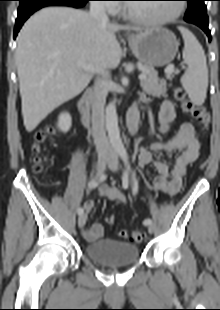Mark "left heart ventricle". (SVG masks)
I'll list each match as a JSON object with an SVG mask.
<instances>
[{"label":"left heart ventricle","instance_id":"obj_1","mask_svg":"<svg viewBox=\"0 0 220 310\" xmlns=\"http://www.w3.org/2000/svg\"><path fill=\"white\" fill-rule=\"evenodd\" d=\"M177 4H129L128 9L139 16L149 19H161L172 15Z\"/></svg>","mask_w":220,"mask_h":310}]
</instances>
